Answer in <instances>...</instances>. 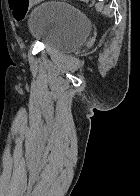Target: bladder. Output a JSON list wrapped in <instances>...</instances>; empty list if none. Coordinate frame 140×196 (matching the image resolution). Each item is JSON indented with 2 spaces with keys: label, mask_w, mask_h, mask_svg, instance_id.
<instances>
[{
  "label": "bladder",
  "mask_w": 140,
  "mask_h": 196,
  "mask_svg": "<svg viewBox=\"0 0 140 196\" xmlns=\"http://www.w3.org/2000/svg\"><path fill=\"white\" fill-rule=\"evenodd\" d=\"M29 31L34 41L63 53L78 50L89 35V21L80 9L61 1L36 5Z\"/></svg>",
  "instance_id": "bladder-1"
}]
</instances>
